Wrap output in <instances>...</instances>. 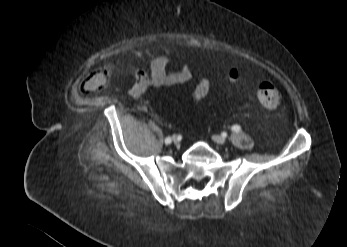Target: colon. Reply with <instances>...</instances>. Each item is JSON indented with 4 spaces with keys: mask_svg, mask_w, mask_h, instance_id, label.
<instances>
[{
    "mask_svg": "<svg viewBox=\"0 0 347 247\" xmlns=\"http://www.w3.org/2000/svg\"><path fill=\"white\" fill-rule=\"evenodd\" d=\"M231 79H236L238 73L232 70L229 73ZM256 98L266 108H276L280 103V95L278 93L277 80L270 75L262 76L256 85Z\"/></svg>",
    "mask_w": 347,
    "mask_h": 247,
    "instance_id": "obj_1",
    "label": "colon"
}]
</instances>
